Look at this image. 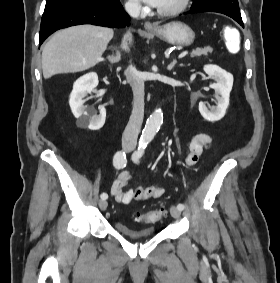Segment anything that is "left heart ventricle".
Instances as JSON below:
<instances>
[{"label":"left heart ventricle","mask_w":280,"mask_h":283,"mask_svg":"<svg viewBox=\"0 0 280 283\" xmlns=\"http://www.w3.org/2000/svg\"><path fill=\"white\" fill-rule=\"evenodd\" d=\"M180 0H162L161 4L158 6L159 9H169L178 4Z\"/></svg>","instance_id":"b2bd125f"}]
</instances>
